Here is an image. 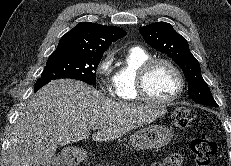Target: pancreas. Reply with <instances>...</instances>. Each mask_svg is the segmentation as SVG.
<instances>
[{
    "label": "pancreas",
    "mask_w": 231,
    "mask_h": 166,
    "mask_svg": "<svg viewBox=\"0 0 231 166\" xmlns=\"http://www.w3.org/2000/svg\"><path fill=\"white\" fill-rule=\"evenodd\" d=\"M95 166H109V164L108 163H106V165H100V164H98V165H95Z\"/></svg>",
    "instance_id": "cf45deb5"
}]
</instances>
